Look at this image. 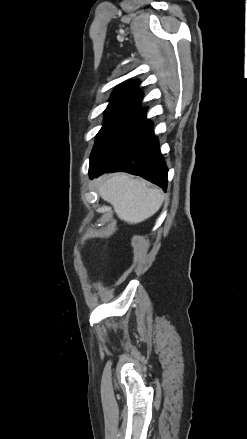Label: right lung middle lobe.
Returning <instances> with one entry per match:
<instances>
[{"label": "right lung middle lobe", "mask_w": 247, "mask_h": 439, "mask_svg": "<svg viewBox=\"0 0 247 439\" xmlns=\"http://www.w3.org/2000/svg\"><path fill=\"white\" fill-rule=\"evenodd\" d=\"M148 124L143 111L109 105L105 110V123L96 136L90 166H97L112 151L124 145Z\"/></svg>", "instance_id": "right-lung-middle-lobe-1"}]
</instances>
